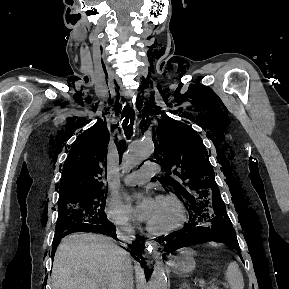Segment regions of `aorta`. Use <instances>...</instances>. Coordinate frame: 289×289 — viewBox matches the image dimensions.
<instances>
[{"instance_id": "762f6f07", "label": "aorta", "mask_w": 289, "mask_h": 289, "mask_svg": "<svg viewBox=\"0 0 289 289\" xmlns=\"http://www.w3.org/2000/svg\"><path fill=\"white\" fill-rule=\"evenodd\" d=\"M154 153V144L151 138H142L134 141L123 156V168L132 169L142 161L150 158ZM150 289H167V277L163 263L158 261L154 268Z\"/></svg>"}]
</instances>
